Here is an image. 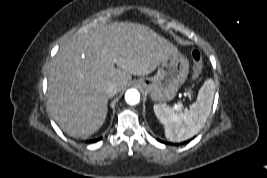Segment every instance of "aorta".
Returning <instances> with one entry per match:
<instances>
[{"label": "aorta", "mask_w": 267, "mask_h": 178, "mask_svg": "<svg viewBox=\"0 0 267 178\" xmlns=\"http://www.w3.org/2000/svg\"><path fill=\"white\" fill-rule=\"evenodd\" d=\"M125 101L130 105H135L140 102V93L136 89H129L125 93Z\"/></svg>", "instance_id": "aorta-1"}]
</instances>
